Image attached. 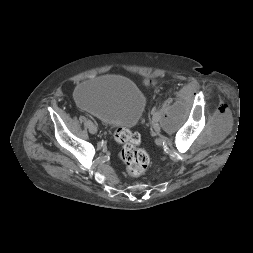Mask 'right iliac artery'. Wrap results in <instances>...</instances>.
<instances>
[{
  "label": "right iliac artery",
  "instance_id": "obj_1",
  "mask_svg": "<svg viewBox=\"0 0 253 253\" xmlns=\"http://www.w3.org/2000/svg\"><path fill=\"white\" fill-rule=\"evenodd\" d=\"M87 126H90V124H92V122L90 120H86Z\"/></svg>",
  "mask_w": 253,
  "mask_h": 253
}]
</instances>
